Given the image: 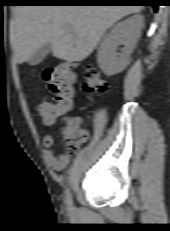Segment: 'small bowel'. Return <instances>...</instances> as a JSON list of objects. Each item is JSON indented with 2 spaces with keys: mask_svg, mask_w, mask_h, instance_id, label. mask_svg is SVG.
Listing matches in <instances>:
<instances>
[{
  "mask_svg": "<svg viewBox=\"0 0 170 231\" xmlns=\"http://www.w3.org/2000/svg\"><path fill=\"white\" fill-rule=\"evenodd\" d=\"M65 127L72 125H80L82 120L78 116H65L60 121ZM54 124V123H52ZM43 143L45 146V158L48 165L55 171L63 170L70 162L71 152L74 150L68 149L61 155H56L54 152L55 140L53 135L47 134L43 138Z\"/></svg>",
  "mask_w": 170,
  "mask_h": 231,
  "instance_id": "small-bowel-1",
  "label": "small bowel"
}]
</instances>
